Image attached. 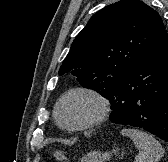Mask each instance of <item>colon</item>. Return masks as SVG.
Listing matches in <instances>:
<instances>
[{
    "label": "colon",
    "mask_w": 168,
    "mask_h": 162,
    "mask_svg": "<svg viewBox=\"0 0 168 162\" xmlns=\"http://www.w3.org/2000/svg\"><path fill=\"white\" fill-rule=\"evenodd\" d=\"M50 157H51V159H53L55 161H58V162L67 160L66 155L64 153L58 152V151L57 152H52L50 154Z\"/></svg>",
    "instance_id": "5ec220e1"
}]
</instances>
